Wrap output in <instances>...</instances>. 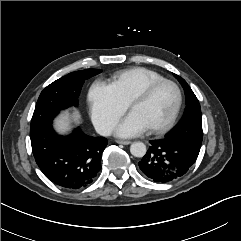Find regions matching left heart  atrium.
Segmentation results:
<instances>
[{"label":"left heart atrium","mask_w":241,"mask_h":241,"mask_svg":"<svg viewBox=\"0 0 241 241\" xmlns=\"http://www.w3.org/2000/svg\"><path fill=\"white\" fill-rule=\"evenodd\" d=\"M148 129V125L136 113L131 111L118 125L116 132L120 137H133L144 133Z\"/></svg>","instance_id":"1"}]
</instances>
